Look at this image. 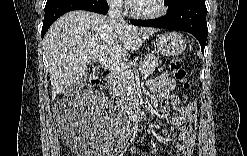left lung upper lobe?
I'll use <instances>...</instances> for the list:
<instances>
[{
	"label": "left lung upper lobe",
	"instance_id": "1",
	"mask_svg": "<svg viewBox=\"0 0 247 156\" xmlns=\"http://www.w3.org/2000/svg\"><path fill=\"white\" fill-rule=\"evenodd\" d=\"M182 0H168L167 4H168V9H171L175 6H177Z\"/></svg>",
	"mask_w": 247,
	"mask_h": 156
}]
</instances>
